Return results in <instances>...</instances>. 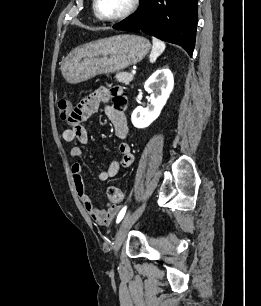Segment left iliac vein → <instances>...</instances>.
I'll use <instances>...</instances> for the list:
<instances>
[{
	"label": "left iliac vein",
	"mask_w": 261,
	"mask_h": 306,
	"mask_svg": "<svg viewBox=\"0 0 261 306\" xmlns=\"http://www.w3.org/2000/svg\"><path fill=\"white\" fill-rule=\"evenodd\" d=\"M146 203H143L140 205L133 213L127 214L125 218L123 219L121 226L116 234L115 242H114V252L115 255L118 254V251L124 242L128 231L132 227V225L138 220V218L142 215L144 209H145Z\"/></svg>",
	"instance_id": "obj_1"
}]
</instances>
